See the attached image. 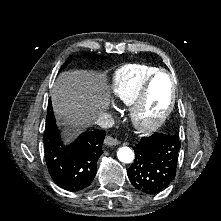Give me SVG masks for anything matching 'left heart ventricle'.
I'll use <instances>...</instances> for the list:
<instances>
[{"instance_id": "b2bd125f", "label": "left heart ventricle", "mask_w": 221, "mask_h": 221, "mask_svg": "<svg viewBox=\"0 0 221 221\" xmlns=\"http://www.w3.org/2000/svg\"><path fill=\"white\" fill-rule=\"evenodd\" d=\"M171 94V82L166 74L159 75L149 92L147 103L141 112L143 120L158 118L167 108Z\"/></svg>"}]
</instances>
